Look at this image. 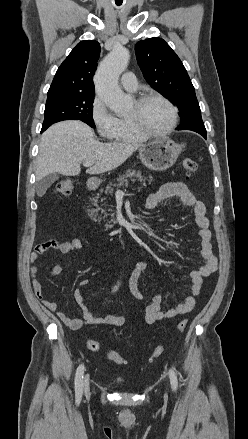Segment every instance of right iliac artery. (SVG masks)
I'll use <instances>...</instances> for the list:
<instances>
[{
	"label": "right iliac artery",
	"mask_w": 248,
	"mask_h": 439,
	"mask_svg": "<svg viewBox=\"0 0 248 439\" xmlns=\"http://www.w3.org/2000/svg\"><path fill=\"white\" fill-rule=\"evenodd\" d=\"M118 286L114 287L113 291H116ZM84 365H79L76 371V377H75V391L78 395L82 393L83 389V374H84Z\"/></svg>",
	"instance_id": "82829eb1"
}]
</instances>
